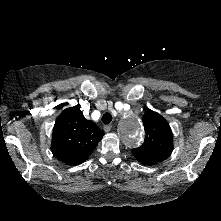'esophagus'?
Masks as SVG:
<instances>
[{
	"label": "esophagus",
	"mask_w": 221,
	"mask_h": 221,
	"mask_svg": "<svg viewBox=\"0 0 221 221\" xmlns=\"http://www.w3.org/2000/svg\"><path fill=\"white\" fill-rule=\"evenodd\" d=\"M103 129L105 132H109L112 129V126L111 125H104Z\"/></svg>",
	"instance_id": "esophagus-1"
}]
</instances>
